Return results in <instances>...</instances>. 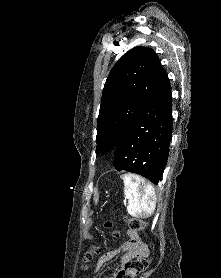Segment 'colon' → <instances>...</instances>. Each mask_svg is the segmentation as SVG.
<instances>
[{
	"label": "colon",
	"instance_id": "obj_1",
	"mask_svg": "<svg viewBox=\"0 0 221 278\" xmlns=\"http://www.w3.org/2000/svg\"><path fill=\"white\" fill-rule=\"evenodd\" d=\"M128 227L131 231H139L145 228L146 223L140 219H128ZM104 227L111 230L112 236L117 237V232L113 231V224L111 221H105ZM93 249H88L84 253V262L87 263L92 259ZM152 257L149 255L147 248L142 250V253L135 259L128 261L122 270L117 273V278H133L144 272L151 264Z\"/></svg>",
	"mask_w": 221,
	"mask_h": 278
}]
</instances>
